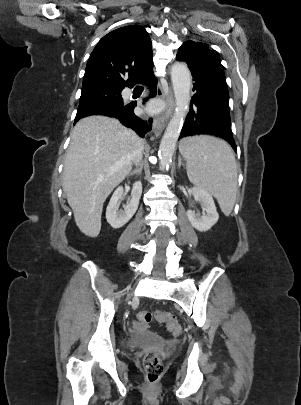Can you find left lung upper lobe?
<instances>
[{"label": "left lung upper lobe", "mask_w": 301, "mask_h": 405, "mask_svg": "<svg viewBox=\"0 0 301 405\" xmlns=\"http://www.w3.org/2000/svg\"><path fill=\"white\" fill-rule=\"evenodd\" d=\"M176 59L186 62L189 67L201 71L225 90H228L223 67L218 57L207 45L188 40L179 48Z\"/></svg>", "instance_id": "1"}]
</instances>
